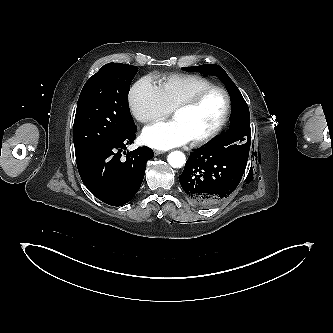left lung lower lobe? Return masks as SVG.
Instances as JSON below:
<instances>
[{
	"mask_svg": "<svg viewBox=\"0 0 333 333\" xmlns=\"http://www.w3.org/2000/svg\"><path fill=\"white\" fill-rule=\"evenodd\" d=\"M247 162L207 145L188 158L180 184L189 199L202 207L214 206L238 186Z\"/></svg>",
	"mask_w": 333,
	"mask_h": 333,
	"instance_id": "left-lung-lower-lobe-1",
	"label": "left lung lower lobe"
}]
</instances>
